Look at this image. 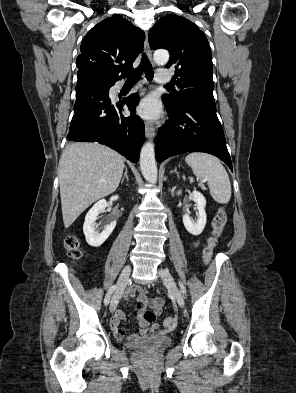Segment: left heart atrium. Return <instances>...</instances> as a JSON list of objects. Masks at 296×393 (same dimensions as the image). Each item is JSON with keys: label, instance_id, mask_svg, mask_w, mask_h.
Returning a JSON list of instances; mask_svg holds the SVG:
<instances>
[{"label": "left heart atrium", "instance_id": "1", "mask_svg": "<svg viewBox=\"0 0 296 393\" xmlns=\"http://www.w3.org/2000/svg\"><path fill=\"white\" fill-rule=\"evenodd\" d=\"M136 113L146 120H155L160 115V104L154 96H147L138 104Z\"/></svg>", "mask_w": 296, "mask_h": 393}]
</instances>
